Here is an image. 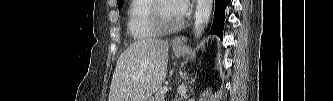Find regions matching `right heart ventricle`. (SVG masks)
<instances>
[{"instance_id": "right-heart-ventricle-1", "label": "right heart ventricle", "mask_w": 333, "mask_h": 101, "mask_svg": "<svg viewBox=\"0 0 333 101\" xmlns=\"http://www.w3.org/2000/svg\"><path fill=\"white\" fill-rule=\"evenodd\" d=\"M154 0H134L128 13V32L136 41L156 38L159 32L151 21Z\"/></svg>"}]
</instances>
